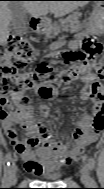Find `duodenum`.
Instances as JSON below:
<instances>
[{
  "label": "duodenum",
  "mask_w": 104,
  "mask_h": 189,
  "mask_svg": "<svg viewBox=\"0 0 104 189\" xmlns=\"http://www.w3.org/2000/svg\"><path fill=\"white\" fill-rule=\"evenodd\" d=\"M49 21L44 18H32L30 20V27L34 33H45Z\"/></svg>",
  "instance_id": "1"
}]
</instances>
